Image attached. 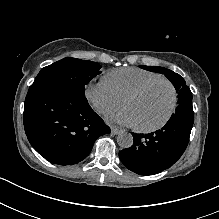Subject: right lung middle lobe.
<instances>
[{
  "label": "right lung middle lobe",
  "mask_w": 219,
  "mask_h": 219,
  "mask_svg": "<svg viewBox=\"0 0 219 219\" xmlns=\"http://www.w3.org/2000/svg\"><path fill=\"white\" fill-rule=\"evenodd\" d=\"M101 66L92 61L64 58L41 69L31 88L51 85L71 90L85 98V85L100 74Z\"/></svg>",
  "instance_id": "obj_1"
}]
</instances>
